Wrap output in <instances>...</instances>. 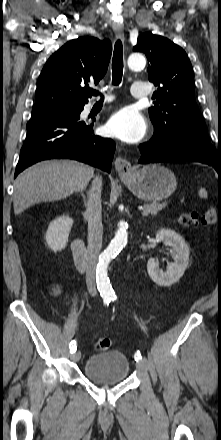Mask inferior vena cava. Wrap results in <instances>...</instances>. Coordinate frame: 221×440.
I'll return each mask as SVG.
<instances>
[{
	"label": "inferior vena cava",
	"instance_id": "1",
	"mask_svg": "<svg viewBox=\"0 0 221 440\" xmlns=\"http://www.w3.org/2000/svg\"><path fill=\"white\" fill-rule=\"evenodd\" d=\"M101 178L96 177L92 182L85 216L88 220V258L86 268V284L89 290H95V273L98 256L102 248V204H101Z\"/></svg>",
	"mask_w": 221,
	"mask_h": 440
}]
</instances>
